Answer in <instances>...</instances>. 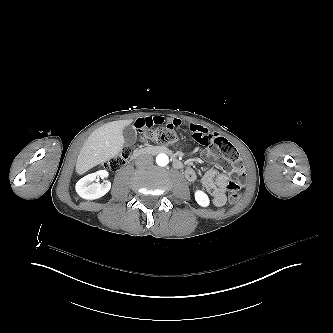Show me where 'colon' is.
<instances>
[{
  "instance_id": "colon-1",
  "label": "colon",
  "mask_w": 333,
  "mask_h": 333,
  "mask_svg": "<svg viewBox=\"0 0 333 333\" xmlns=\"http://www.w3.org/2000/svg\"><path fill=\"white\" fill-rule=\"evenodd\" d=\"M188 133L202 145H209L215 150L219 151L224 159L220 160L222 168L232 173L233 178L226 184L228 191V201L230 203H236L240 198V189L242 187V181L245 179L244 164L239 157L238 151L234 146L225 138L216 136V132L213 129H206L203 132V128L200 125H194L185 127ZM143 138L154 145H168L175 144L179 137L174 129H161L149 132H140ZM120 153L129 157L131 155V149L129 147L123 148ZM214 157L215 155H210ZM111 171H116L121 167L119 157L111 158L105 164Z\"/></svg>"
}]
</instances>
